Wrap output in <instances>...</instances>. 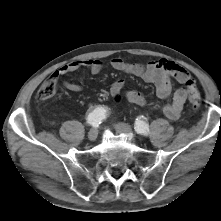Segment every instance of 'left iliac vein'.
Wrapping results in <instances>:
<instances>
[{"label":"left iliac vein","mask_w":221,"mask_h":221,"mask_svg":"<svg viewBox=\"0 0 221 221\" xmlns=\"http://www.w3.org/2000/svg\"><path fill=\"white\" fill-rule=\"evenodd\" d=\"M115 129L118 133L126 134L132 136V128L125 123H117Z\"/></svg>","instance_id":"1"}]
</instances>
